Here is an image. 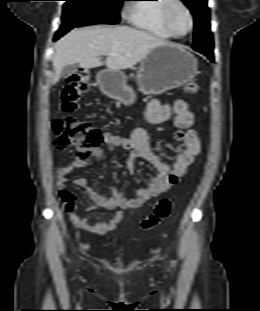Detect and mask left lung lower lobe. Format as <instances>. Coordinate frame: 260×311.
I'll return each mask as SVG.
<instances>
[{
    "mask_svg": "<svg viewBox=\"0 0 260 311\" xmlns=\"http://www.w3.org/2000/svg\"><path fill=\"white\" fill-rule=\"evenodd\" d=\"M202 54H204L205 56H207L211 61H214L213 58V52L212 50H206V49H194Z\"/></svg>",
    "mask_w": 260,
    "mask_h": 311,
    "instance_id": "1",
    "label": "left lung lower lobe"
}]
</instances>
